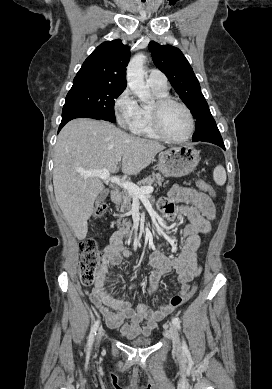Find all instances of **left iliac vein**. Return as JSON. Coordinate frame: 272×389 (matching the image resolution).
<instances>
[{
	"mask_svg": "<svg viewBox=\"0 0 272 389\" xmlns=\"http://www.w3.org/2000/svg\"><path fill=\"white\" fill-rule=\"evenodd\" d=\"M168 336L172 340L173 351L176 353H180L182 350V346H181L178 330L174 324L169 325Z\"/></svg>",
	"mask_w": 272,
	"mask_h": 389,
	"instance_id": "4c4485c4",
	"label": "left iliac vein"
}]
</instances>
